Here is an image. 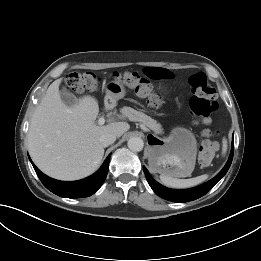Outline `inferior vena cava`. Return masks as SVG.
I'll return each mask as SVG.
<instances>
[{
  "instance_id": "602c4592",
  "label": "inferior vena cava",
  "mask_w": 261,
  "mask_h": 261,
  "mask_svg": "<svg viewBox=\"0 0 261 261\" xmlns=\"http://www.w3.org/2000/svg\"><path fill=\"white\" fill-rule=\"evenodd\" d=\"M115 140H116V135L113 133L103 134L99 139V141L103 147H107V146L113 144L115 142Z\"/></svg>"
}]
</instances>
